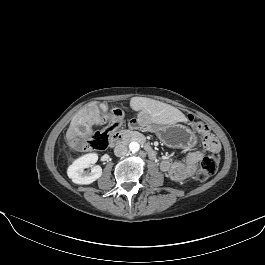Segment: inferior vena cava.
<instances>
[{
  "mask_svg": "<svg viewBox=\"0 0 265 265\" xmlns=\"http://www.w3.org/2000/svg\"><path fill=\"white\" fill-rule=\"evenodd\" d=\"M128 148L125 144H119L115 147L114 149V154L117 157H122L125 156L127 154Z\"/></svg>",
  "mask_w": 265,
  "mask_h": 265,
  "instance_id": "inferior-vena-cava-1",
  "label": "inferior vena cava"
}]
</instances>
